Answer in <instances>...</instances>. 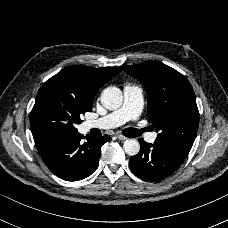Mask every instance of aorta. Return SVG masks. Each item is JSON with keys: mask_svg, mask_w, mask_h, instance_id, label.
I'll return each mask as SVG.
<instances>
[{"mask_svg": "<svg viewBox=\"0 0 228 228\" xmlns=\"http://www.w3.org/2000/svg\"><path fill=\"white\" fill-rule=\"evenodd\" d=\"M102 105L108 110H116L122 105L123 95L119 88H105L100 97ZM124 151L128 155H136L140 150V144L136 139H129L123 145Z\"/></svg>", "mask_w": 228, "mask_h": 228, "instance_id": "762f6f07", "label": "aorta"}]
</instances>
